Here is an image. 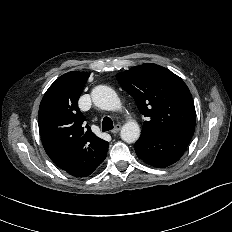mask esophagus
<instances>
[{"label": "esophagus", "mask_w": 232, "mask_h": 232, "mask_svg": "<svg viewBox=\"0 0 232 232\" xmlns=\"http://www.w3.org/2000/svg\"><path fill=\"white\" fill-rule=\"evenodd\" d=\"M120 129H121V125H120V124H117V125L114 127V129L111 130V133L116 134V133H118V132L120 131Z\"/></svg>", "instance_id": "34e87169"}]
</instances>
